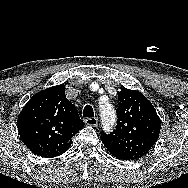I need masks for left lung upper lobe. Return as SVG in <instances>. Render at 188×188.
<instances>
[{"label": "left lung upper lobe", "instance_id": "obj_1", "mask_svg": "<svg viewBox=\"0 0 188 188\" xmlns=\"http://www.w3.org/2000/svg\"><path fill=\"white\" fill-rule=\"evenodd\" d=\"M117 126L101 140L110 142L135 159L154 146L160 133V119L154 106L139 91L122 88L118 94Z\"/></svg>", "mask_w": 188, "mask_h": 188}]
</instances>
